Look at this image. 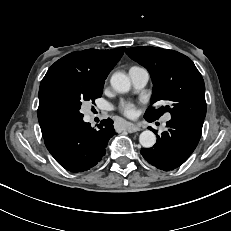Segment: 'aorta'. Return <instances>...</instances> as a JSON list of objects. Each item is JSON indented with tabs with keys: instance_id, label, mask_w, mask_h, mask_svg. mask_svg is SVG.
<instances>
[{
	"instance_id": "aorta-1",
	"label": "aorta",
	"mask_w": 231,
	"mask_h": 231,
	"mask_svg": "<svg viewBox=\"0 0 231 231\" xmlns=\"http://www.w3.org/2000/svg\"><path fill=\"white\" fill-rule=\"evenodd\" d=\"M112 87L120 93L130 90L131 82L127 75L122 72H115L110 79ZM139 142L144 148H151L156 143V136L150 130L143 131L139 136Z\"/></svg>"
}]
</instances>
